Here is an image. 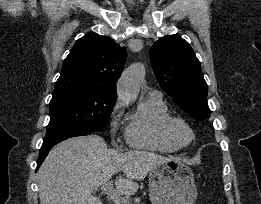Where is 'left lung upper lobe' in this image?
Segmentation results:
<instances>
[{
    "instance_id": "1",
    "label": "left lung upper lobe",
    "mask_w": 261,
    "mask_h": 204,
    "mask_svg": "<svg viewBox=\"0 0 261 204\" xmlns=\"http://www.w3.org/2000/svg\"><path fill=\"white\" fill-rule=\"evenodd\" d=\"M154 74L162 89L197 121L210 117L208 86L191 46L175 35L157 40L150 49Z\"/></svg>"
}]
</instances>
